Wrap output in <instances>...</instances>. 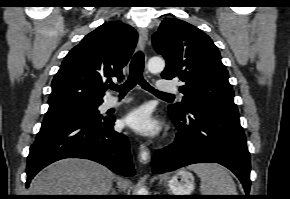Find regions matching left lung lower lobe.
Returning a JSON list of instances; mask_svg holds the SVG:
<instances>
[{
    "instance_id": "0a47b994",
    "label": "left lung lower lobe",
    "mask_w": 290,
    "mask_h": 199,
    "mask_svg": "<svg viewBox=\"0 0 290 199\" xmlns=\"http://www.w3.org/2000/svg\"><path fill=\"white\" fill-rule=\"evenodd\" d=\"M169 114L178 134L173 144L154 154L153 172H169L195 163H219L239 178L248 196L250 155L239 114L200 104Z\"/></svg>"
}]
</instances>
